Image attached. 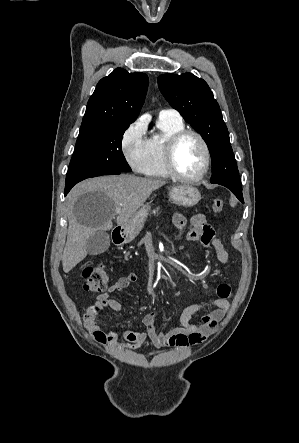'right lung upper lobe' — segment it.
<instances>
[{
    "mask_svg": "<svg viewBox=\"0 0 299 443\" xmlns=\"http://www.w3.org/2000/svg\"><path fill=\"white\" fill-rule=\"evenodd\" d=\"M148 87L144 73L117 68L102 78L90 97L80 132L115 123H132L143 105Z\"/></svg>",
    "mask_w": 299,
    "mask_h": 443,
    "instance_id": "right-lung-upper-lobe-1",
    "label": "right lung upper lobe"
}]
</instances>
